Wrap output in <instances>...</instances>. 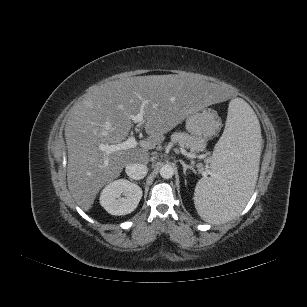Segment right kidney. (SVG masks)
<instances>
[{
  "instance_id": "obj_1",
  "label": "right kidney",
  "mask_w": 307,
  "mask_h": 307,
  "mask_svg": "<svg viewBox=\"0 0 307 307\" xmlns=\"http://www.w3.org/2000/svg\"><path fill=\"white\" fill-rule=\"evenodd\" d=\"M141 197L142 189L138 185L119 179L105 186L100 195V204L111 215H126L136 209Z\"/></svg>"
}]
</instances>
